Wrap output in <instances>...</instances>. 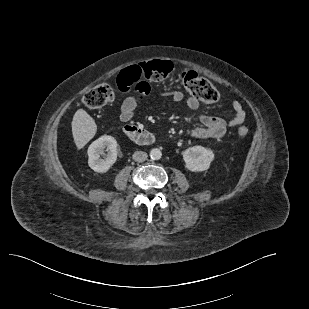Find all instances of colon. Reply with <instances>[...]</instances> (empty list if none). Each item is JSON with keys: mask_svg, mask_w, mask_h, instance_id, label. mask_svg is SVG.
Returning <instances> with one entry per match:
<instances>
[{"mask_svg": "<svg viewBox=\"0 0 309 309\" xmlns=\"http://www.w3.org/2000/svg\"><path fill=\"white\" fill-rule=\"evenodd\" d=\"M173 65L166 60H153L142 65L132 66L122 71L135 87L142 86L146 81H161L172 72ZM181 82L187 92L204 103H215L219 99L217 89L204 77L195 71L184 70L180 75ZM114 99V91L108 84H100L89 91L83 97V104L90 109L101 108ZM239 136L248 134V128L240 126L237 130Z\"/></svg>", "mask_w": 309, "mask_h": 309, "instance_id": "obj_1", "label": "colon"}]
</instances>
